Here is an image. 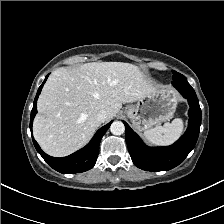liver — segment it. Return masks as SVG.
Here are the masks:
<instances>
[{
  "mask_svg": "<svg viewBox=\"0 0 224 224\" xmlns=\"http://www.w3.org/2000/svg\"><path fill=\"white\" fill-rule=\"evenodd\" d=\"M157 88L129 63L92 62L58 68L39 96L34 137L47 154L67 156L83 147L100 126V110L107 111L109 120L122 104L138 101Z\"/></svg>",
  "mask_w": 224,
  "mask_h": 224,
  "instance_id": "6515ba94",
  "label": "liver"
}]
</instances>
